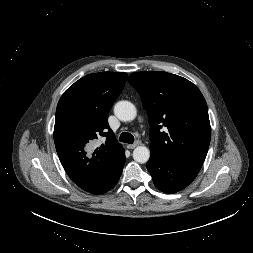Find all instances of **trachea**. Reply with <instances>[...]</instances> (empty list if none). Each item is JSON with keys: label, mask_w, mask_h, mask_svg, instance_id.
<instances>
[{"label": "trachea", "mask_w": 253, "mask_h": 253, "mask_svg": "<svg viewBox=\"0 0 253 253\" xmlns=\"http://www.w3.org/2000/svg\"><path fill=\"white\" fill-rule=\"evenodd\" d=\"M120 141L128 144H132L134 142V136L128 132H123L120 135Z\"/></svg>", "instance_id": "1"}]
</instances>
